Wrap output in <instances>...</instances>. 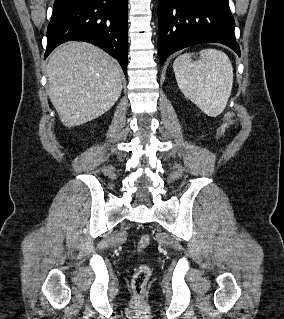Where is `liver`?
<instances>
[{
	"instance_id": "liver-1",
	"label": "liver",
	"mask_w": 284,
	"mask_h": 319,
	"mask_svg": "<svg viewBox=\"0 0 284 319\" xmlns=\"http://www.w3.org/2000/svg\"><path fill=\"white\" fill-rule=\"evenodd\" d=\"M49 98L66 127L107 112L122 91V70L102 49L86 42L59 46L47 64Z\"/></svg>"
}]
</instances>
